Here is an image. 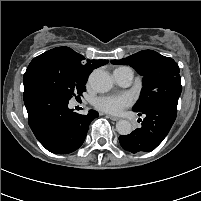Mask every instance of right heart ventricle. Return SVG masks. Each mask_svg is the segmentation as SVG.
Instances as JSON below:
<instances>
[{
	"label": "right heart ventricle",
	"mask_w": 201,
	"mask_h": 201,
	"mask_svg": "<svg viewBox=\"0 0 201 201\" xmlns=\"http://www.w3.org/2000/svg\"><path fill=\"white\" fill-rule=\"evenodd\" d=\"M120 68H126V67H119L118 69H120Z\"/></svg>",
	"instance_id": "right-heart-ventricle-1"
}]
</instances>
